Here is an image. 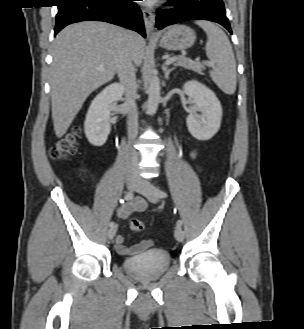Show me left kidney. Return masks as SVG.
<instances>
[{
	"instance_id": "5707ae66",
	"label": "left kidney",
	"mask_w": 304,
	"mask_h": 329,
	"mask_svg": "<svg viewBox=\"0 0 304 329\" xmlns=\"http://www.w3.org/2000/svg\"><path fill=\"white\" fill-rule=\"evenodd\" d=\"M183 92L195 103V111L186 119L189 132L197 140L211 139L221 125L220 101L212 90L195 80L187 81L183 85Z\"/></svg>"
}]
</instances>
